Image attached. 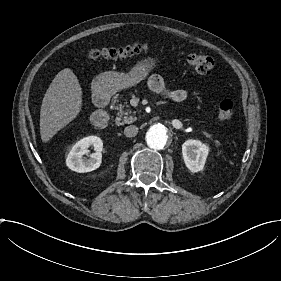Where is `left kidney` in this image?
<instances>
[{"mask_svg":"<svg viewBox=\"0 0 281 281\" xmlns=\"http://www.w3.org/2000/svg\"><path fill=\"white\" fill-rule=\"evenodd\" d=\"M207 148L195 140L186 141L182 146V154L186 167L197 172L203 169L207 156Z\"/></svg>","mask_w":281,"mask_h":281,"instance_id":"5707ae66","label":"left kidney"}]
</instances>
